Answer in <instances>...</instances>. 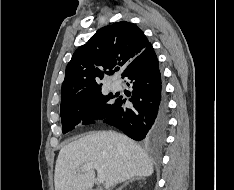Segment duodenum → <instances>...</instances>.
Listing matches in <instances>:
<instances>
[{"label":"duodenum","instance_id":"obj_1","mask_svg":"<svg viewBox=\"0 0 234 190\" xmlns=\"http://www.w3.org/2000/svg\"><path fill=\"white\" fill-rule=\"evenodd\" d=\"M92 190H102V189H92Z\"/></svg>","mask_w":234,"mask_h":190}]
</instances>
